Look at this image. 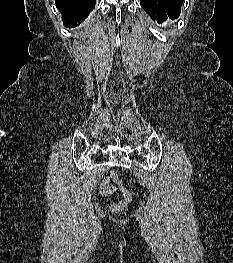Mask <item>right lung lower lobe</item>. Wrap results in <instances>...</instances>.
<instances>
[{"instance_id":"obj_1","label":"right lung lower lobe","mask_w":233,"mask_h":263,"mask_svg":"<svg viewBox=\"0 0 233 263\" xmlns=\"http://www.w3.org/2000/svg\"><path fill=\"white\" fill-rule=\"evenodd\" d=\"M65 27L82 23L95 7V0H55Z\"/></svg>"}]
</instances>
